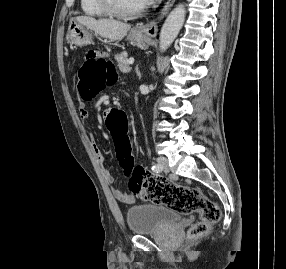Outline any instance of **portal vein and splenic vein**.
Instances as JSON below:
<instances>
[{"instance_id": "obj_1", "label": "portal vein and splenic vein", "mask_w": 286, "mask_h": 269, "mask_svg": "<svg viewBox=\"0 0 286 269\" xmlns=\"http://www.w3.org/2000/svg\"><path fill=\"white\" fill-rule=\"evenodd\" d=\"M134 63V59L133 58H130L129 60H128V64L129 65H132Z\"/></svg>"}]
</instances>
